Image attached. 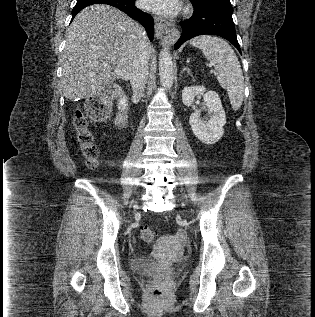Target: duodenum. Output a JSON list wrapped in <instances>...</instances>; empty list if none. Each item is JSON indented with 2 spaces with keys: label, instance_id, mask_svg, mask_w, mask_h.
<instances>
[{
  "label": "duodenum",
  "instance_id": "obj_1",
  "mask_svg": "<svg viewBox=\"0 0 315 317\" xmlns=\"http://www.w3.org/2000/svg\"><path fill=\"white\" fill-rule=\"evenodd\" d=\"M116 124L119 127H126L127 125V110L126 109L119 111L116 118Z\"/></svg>",
  "mask_w": 315,
  "mask_h": 317
}]
</instances>
